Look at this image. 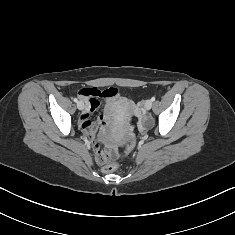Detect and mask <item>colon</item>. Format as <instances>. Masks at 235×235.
<instances>
[{
  "instance_id": "obj_1",
  "label": "colon",
  "mask_w": 235,
  "mask_h": 235,
  "mask_svg": "<svg viewBox=\"0 0 235 235\" xmlns=\"http://www.w3.org/2000/svg\"><path fill=\"white\" fill-rule=\"evenodd\" d=\"M116 90L114 88H107L102 90L99 95L102 97H110L115 94ZM92 94V93H90ZM134 147V141L131 140L126 146L125 150L116 155L117 159L124 162ZM95 156L99 164L103 165L102 169L104 172H112L116 169V164L111 163V159L114 157V152L112 148L103 149L98 145H95Z\"/></svg>"
}]
</instances>
